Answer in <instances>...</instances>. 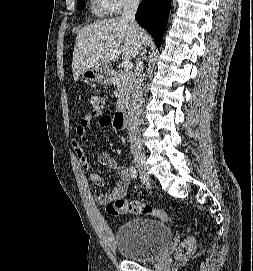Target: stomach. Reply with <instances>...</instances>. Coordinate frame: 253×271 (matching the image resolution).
<instances>
[{
	"label": "stomach",
	"mask_w": 253,
	"mask_h": 271,
	"mask_svg": "<svg viewBox=\"0 0 253 271\" xmlns=\"http://www.w3.org/2000/svg\"><path fill=\"white\" fill-rule=\"evenodd\" d=\"M85 81L107 84L111 81V72L106 66L86 69L82 72Z\"/></svg>",
	"instance_id": "0dacf381"
}]
</instances>
